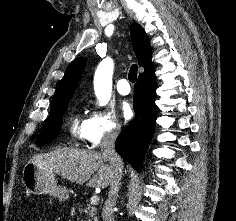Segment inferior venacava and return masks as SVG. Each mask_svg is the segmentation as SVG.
I'll return each instance as SVG.
<instances>
[{"mask_svg": "<svg viewBox=\"0 0 236 221\" xmlns=\"http://www.w3.org/2000/svg\"><path fill=\"white\" fill-rule=\"evenodd\" d=\"M119 128H113L104 133L101 142V154L107 158L113 169V177L110 182V190L102 211L103 221H114V206L118 197L120 181L123 174V160L115 150V140L119 134Z\"/></svg>", "mask_w": 236, "mask_h": 221, "instance_id": "obj_1", "label": "inferior vena cava"}]
</instances>
